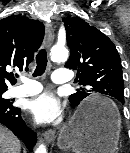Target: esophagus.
I'll return each mask as SVG.
<instances>
[{"mask_svg": "<svg viewBox=\"0 0 130 153\" xmlns=\"http://www.w3.org/2000/svg\"><path fill=\"white\" fill-rule=\"evenodd\" d=\"M54 40V29L52 24L47 22L45 24V46L50 48ZM56 132L53 129H50L44 133V140L49 144L54 141Z\"/></svg>", "mask_w": 130, "mask_h": 153, "instance_id": "obj_1", "label": "esophagus"}]
</instances>
